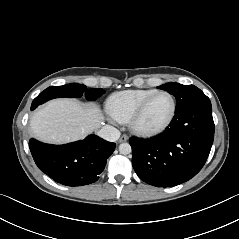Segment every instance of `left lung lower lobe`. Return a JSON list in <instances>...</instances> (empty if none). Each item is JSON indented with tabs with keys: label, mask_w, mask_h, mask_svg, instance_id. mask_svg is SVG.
<instances>
[{
	"label": "left lung lower lobe",
	"mask_w": 239,
	"mask_h": 239,
	"mask_svg": "<svg viewBox=\"0 0 239 239\" xmlns=\"http://www.w3.org/2000/svg\"><path fill=\"white\" fill-rule=\"evenodd\" d=\"M214 139L209 99L175 111L169 127L150 138L131 137L132 164L144 182L171 187L194 177L204 166Z\"/></svg>",
	"instance_id": "obj_1"
}]
</instances>
